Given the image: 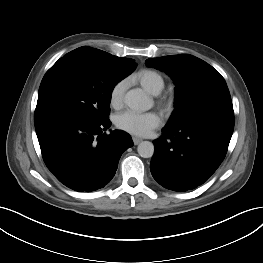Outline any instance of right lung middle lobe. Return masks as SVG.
Masks as SVG:
<instances>
[{
  "instance_id": "1",
  "label": "right lung middle lobe",
  "mask_w": 263,
  "mask_h": 263,
  "mask_svg": "<svg viewBox=\"0 0 263 263\" xmlns=\"http://www.w3.org/2000/svg\"><path fill=\"white\" fill-rule=\"evenodd\" d=\"M136 68L75 49L45 74L38 93L34 122L53 117L85 121L108 119L114 86Z\"/></svg>"
}]
</instances>
